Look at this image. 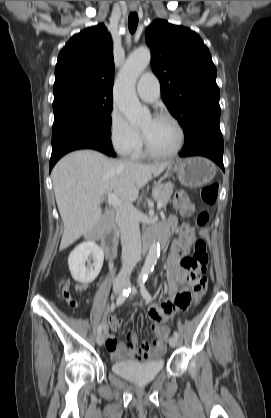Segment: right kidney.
<instances>
[{"instance_id":"ca27d5eb","label":"right kidney","mask_w":271,"mask_h":418,"mask_svg":"<svg viewBox=\"0 0 271 418\" xmlns=\"http://www.w3.org/2000/svg\"><path fill=\"white\" fill-rule=\"evenodd\" d=\"M93 264L86 266L89 259ZM104 253L94 241H86L74 248L68 258V265L74 280L91 283L99 275L103 266Z\"/></svg>"}]
</instances>
